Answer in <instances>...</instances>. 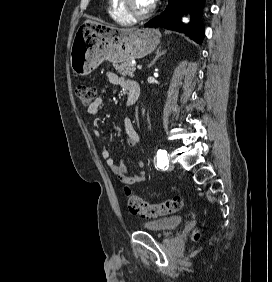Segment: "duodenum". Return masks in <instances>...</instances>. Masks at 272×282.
I'll return each instance as SVG.
<instances>
[{"label": "duodenum", "instance_id": "obj_1", "mask_svg": "<svg viewBox=\"0 0 272 282\" xmlns=\"http://www.w3.org/2000/svg\"><path fill=\"white\" fill-rule=\"evenodd\" d=\"M126 83V89L128 92V98L126 101V106L129 107L137 102L140 96V86L139 84L130 79L125 80Z\"/></svg>", "mask_w": 272, "mask_h": 282}]
</instances>
